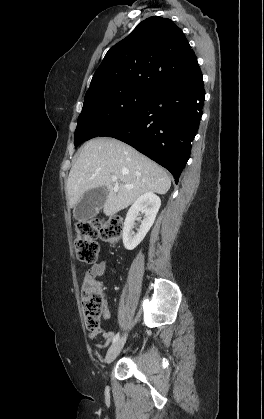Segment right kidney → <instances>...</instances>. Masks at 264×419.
Here are the masks:
<instances>
[{"label":"right kidney","instance_id":"right-kidney-1","mask_svg":"<svg viewBox=\"0 0 264 419\" xmlns=\"http://www.w3.org/2000/svg\"><path fill=\"white\" fill-rule=\"evenodd\" d=\"M160 205V198L153 192L144 193L132 204L127 212L122 233L123 244L127 250H133L144 239L155 221ZM139 213H144V218L138 232L135 233L132 229Z\"/></svg>","mask_w":264,"mask_h":419}]
</instances>
